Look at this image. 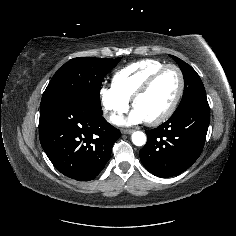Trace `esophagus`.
<instances>
[{
    "instance_id": "obj_1",
    "label": "esophagus",
    "mask_w": 236,
    "mask_h": 236,
    "mask_svg": "<svg viewBox=\"0 0 236 236\" xmlns=\"http://www.w3.org/2000/svg\"><path fill=\"white\" fill-rule=\"evenodd\" d=\"M122 133L123 134H131V133H133V130L132 129H123Z\"/></svg>"
}]
</instances>
